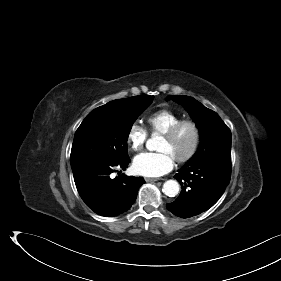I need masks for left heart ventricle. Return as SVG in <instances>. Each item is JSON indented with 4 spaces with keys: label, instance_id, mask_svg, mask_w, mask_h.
Here are the masks:
<instances>
[{
    "label": "left heart ventricle",
    "instance_id": "left-heart-ventricle-1",
    "mask_svg": "<svg viewBox=\"0 0 281 281\" xmlns=\"http://www.w3.org/2000/svg\"><path fill=\"white\" fill-rule=\"evenodd\" d=\"M193 141V130L189 126H185L178 132L175 138L168 140L163 137L159 144V151H167L176 159L190 150Z\"/></svg>",
    "mask_w": 281,
    "mask_h": 281
}]
</instances>
